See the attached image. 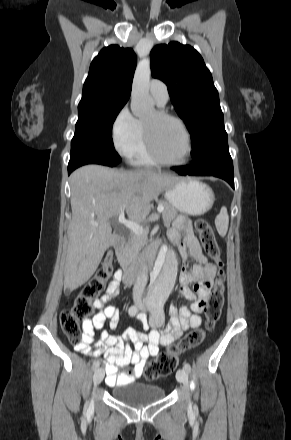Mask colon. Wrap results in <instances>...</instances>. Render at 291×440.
I'll return each instance as SVG.
<instances>
[{"instance_id": "colon-1", "label": "colon", "mask_w": 291, "mask_h": 440, "mask_svg": "<svg viewBox=\"0 0 291 440\" xmlns=\"http://www.w3.org/2000/svg\"><path fill=\"white\" fill-rule=\"evenodd\" d=\"M195 227L205 253L213 259L217 265V279L205 307L207 324L213 326L221 316L224 303L223 262L213 228L209 222L205 219H197ZM112 271L111 257L109 256L101 263L95 277L76 297L72 308L61 312L60 325L63 333L71 342L77 344L82 342L83 331H81L80 322L87 320L92 314V300L103 292L105 284L112 275ZM203 338L204 331L198 329L190 333L180 342L169 345L165 352L161 353L155 361L151 362L145 368V378L148 380H157L172 374L176 369L178 356L187 348L199 344Z\"/></svg>"}]
</instances>
